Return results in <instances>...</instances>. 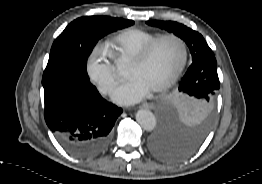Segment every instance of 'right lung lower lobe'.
<instances>
[{"label":"right lung lower lobe","mask_w":262,"mask_h":184,"mask_svg":"<svg viewBox=\"0 0 262 184\" xmlns=\"http://www.w3.org/2000/svg\"><path fill=\"white\" fill-rule=\"evenodd\" d=\"M44 118L59 142L78 158L100 155L122 109L101 97L87 75L72 71L42 79Z\"/></svg>","instance_id":"right-lung-lower-lobe-1"}]
</instances>
